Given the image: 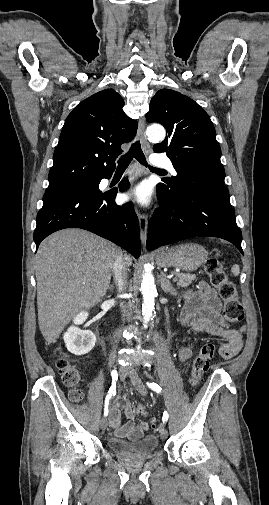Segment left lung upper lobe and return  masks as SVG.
I'll list each match as a JSON object with an SVG mask.
<instances>
[{
    "label": "left lung upper lobe",
    "instance_id": "left-lung-upper-lobe-1",
    "mask_svg": "<svg viewBox=\"0 0 269 505\" xmlns=\"http://www.w3.org/2000/svg\"><path fill=\"white\" fill-rule=\"evenodd\" d=\"M146 119L167 129L165 140L154 145L153 150L165 152L177 172V176L159 183V189L172 195L191 181L224 184L225 170L215 128L194 100L177 91L161 89L151 99Z\"/></svg>",
    "mask_w": 269,
    "mask_h": 505
}]
</instances>
